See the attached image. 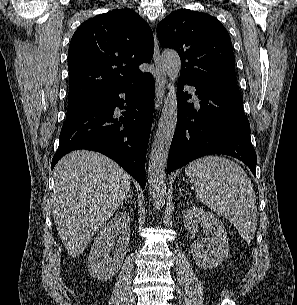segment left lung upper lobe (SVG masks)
<instances>
[{
	"label": "left lung upper lobe",
	"mask_w": 297,
	"mask_h": 305,
	"mask_svg": "<svg viewBox=\"0 0 297 305\" xmlns=\"http://www.w3.org/2000/svg\"><path fill=\"white\" fill-rule=\"evenodd\" d=\"M165 48H174L181 59L180 77L196 84L236 80L230 36L209 14L180 9L157 26Z\"/></svg>",
	"instance_id": "obj_1"
}]
</instances>
